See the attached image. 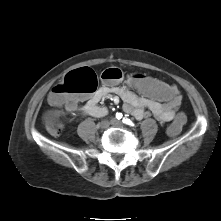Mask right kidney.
Masks as SVG:
<instances>
[{"label":"right kidney","mask_w":221,"mask_h":221,"mask_svg":"<svg viewBox=\"0 0 221 221\" xmlns=\"http://www.w3.org/2000/svg\"><path fill=\"white\" fill-rule=\"evenodd\" d=\"M60 128H63V125H60Z\"/></svg>","instance_id":"right-kidney-1"}]
</instances>
